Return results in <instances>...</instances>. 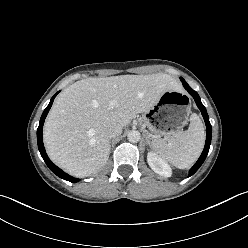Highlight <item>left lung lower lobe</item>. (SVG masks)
Segmentation results:
<instances>
[{
    "label": "left lung lower lobe",
    "mask_w": 248,
    "mask_h": 248,
    "mask_svg": "<svg viewBox=\"0 0 248 248\" xmlns=\"http://www.w3.org/2000/svg\"><path fill=\"white\" fill-rule=\"evenodd\" d=\"M182 83H183V86L185 87V89L194 98L198 108L200 109V111L202 113V116L205 120V124L207 127L205 147H204V150H203L201 156L199 157L198 161L195 163V165L189 171V176H191L199 169V167L202 165V163L206 159V156L208 154L210 144H211L212 127H211V124L209 122V117H208L207 111H206L204 105L202 104L198 93L196 91H194L185 81H182Z\"/></svg>",
    "instance_id": "left-lung-lower-lobe-1"
}]
</instances>
